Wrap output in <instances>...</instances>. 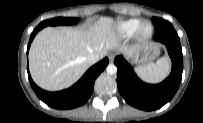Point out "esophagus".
Listing matches in <instances>:
<instances>
[{
  "mask_svg": "<svg viewBox=\"0 0 203 123\" xmlns=\"http://www.w3.org/2000/svg\"><path fill=\"white\" fill-rule=\"evenodd\" d=\"M115 56H116L115 53H110V54H109L108 58H109L110 62H113Z\"/></svg>",
  "mask_w": 203,
  "mask_h": 123,
  "instance_id": "34e87169",
  "label": "esophagus"
}]
</instances>
